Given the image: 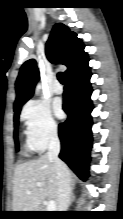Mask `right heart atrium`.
Masks as SVG:
<instances>
[{
	"instance_id": "right-heart-atrium-1",
	"label": "right heart atrium",
	"mask_w": 123,
	"mask_h": 219,
	"mask_svg": "<svg viewBox=\"0 0 123 219\" xmlns=\"http://www.w3.org/2000/svg\"><path fill=\"white\" fill-rule=\"evenodd\" d=\"M21 118L35 150L43 151L58 136V125L45 103L29 101L22 109Z\"/></svg>"
}]
</instances>
